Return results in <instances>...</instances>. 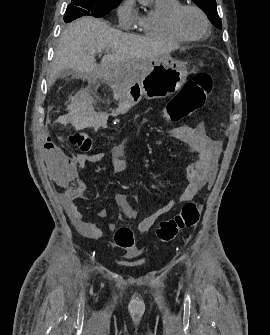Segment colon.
<instances>
[{
	"label": "colon",
	"mask_w": 270,
	"mask_h": 335,
	"mask_svg": "<svg viewBox=\"0 0 270 335\" xmlns=\"http://www.w3.org/2000/svg\"><path fill=\"white\" fill-rule=\"evenodd\" d=\"M212 90V76L201 72L189 80L181 93L174 96L165 111V117L170 122H179L192 112L200 109ZM71 145L83 152H90L94 147V139L86 131H77L69 136ZM200 216V206L194 201L185 202L171 217L162 219L156 227V236L161 243L168 244L186 229L194 228ZM115 244L136 254L133 232L130 228H119L115 232Z\"/></svg>",
	"instance_id": "5ec220e1"
}]
</instances>
